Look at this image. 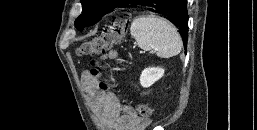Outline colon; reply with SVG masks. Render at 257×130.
Masks as SVG:
<instances>
[{
  "mask_svg": "<svg viewBox=\"0 0 257 130\" xmlns=\"http://www.w3.org/2000/svg\"><path fill=\"white\" fill-rule=\"evenodd\" d=\"M126 29V21L125 18H116L113 19L110 24L104 29L99 35L94 38L83 42L78 48V54L81 56H92L99 52H102L113 43L118 42L124 35ZM119 63H122V59H118ZM91 75L99 76L101 73L98 68V64L96 60L91 61L90 71ZM110 87L104 81L99 82V88L101 90H108ZM136 110L139 116L142 119L149 120L153 114L152 108L145 104H137Z\"/></svg>",
  "mask_w": 257,
  "mask_h": 130,
  "instance_id": "5ec220e1",
  "label": "colon"
}]
</instances>
